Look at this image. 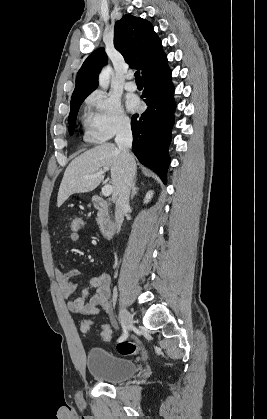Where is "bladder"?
<instances>
[{
	"mask_svg": "<svg viewBox=\"0 0 267 419\" xmlns=\"http://www.w3.org/2000/svg\"><path fill=\"white\" fill-rule=\"evenodd\" d=\"M86 367L92 377L110 384L122 382L137 372L134 361L119 357L101 347L89 349Z\"/></svg>",
	"mask_w": 267,
	"mask_h": 419,
	"instance_id": "bladder-1",
	"label": "bladder"
}]
</instances>
